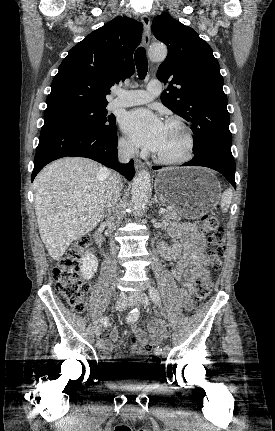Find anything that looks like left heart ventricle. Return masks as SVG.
<instances>
[{
  "instance_id": "b2bd125f",
  "label": "left heart ventricle",
  "mask_w": 275,
  "mask_h": 431,
  "mask_svg": "<svg viewBox=\"0 0 275 431\" xmlns=\"http://www.w3.org/2000/svg\"><path fill=\"white\" fill-rule=\"evenodd\" d=\"M186 150V138L182 129L173 123L165 124V132L156 154L163 158L175 159L181 157Z\"/></svg>"
}]
</instances>
